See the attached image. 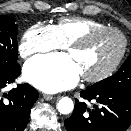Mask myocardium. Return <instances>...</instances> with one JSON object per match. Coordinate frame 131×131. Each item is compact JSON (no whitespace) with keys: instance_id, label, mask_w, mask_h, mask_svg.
Wrapping results in <instances>:
<instances>
[{"instance_id":"1","label":"myocardium","mask_w":131,"mask_h":131,"mask_svg":"<svg viewBox=\"0 0 131 131\" xmlns=\"http://www.w3.org/2000/svg\"><path fill=\"white\" fill-rule=\"evenodd\" d=\"M107 32L117 34L121 38L122 40L121 50L118 53L115 60L104 71L98 74H95V75H82L83 80L87 82L95 83V82H100L102 80H105L106 78L111 76L113 72L118 68V66L120 65L121 61L123 60L125 56V53L128 47V39L126 35L117 28L107 26L103 28L90 30L66 45L67 50L74 48V47H83L95 36L103 34V33H107Z\"/></svg>"}]
</instances>
